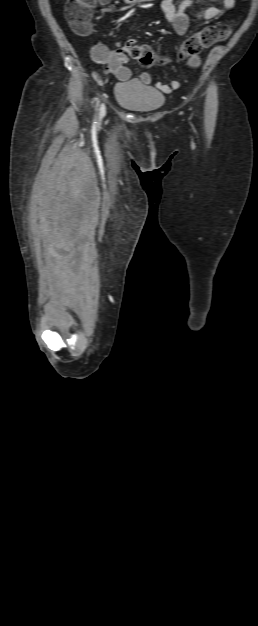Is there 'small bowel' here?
I'll list each match as a JSON object with an SVG mask.
<instances>
[{"label":"small bowel","mask_w":258,"mask_h":626,"mask_svg":"<svg viewBox=\"0 0 258 626\" xmlns=\"http://www.w3.org/2000/svg\"><path fill=\"white\" fill-rule=\"evenodd\" d=\"M199 1L217 2L219 6H205L197 13L198 19L213 20L223 15L227 10L231 9L235 0H181L176 5L174 0H163L162 10L165 13L169 26L175 30L179 35L186 34L190 19L186 13V10ZM100 61L105 65L106 71L113 74L118 80L126 81L130 77V70L125 66L127 57L123 50H110L104 46L98 47ZM188 65L191 67H197L200 63L198 56H192L188 58ZM141 80L144 84L149 85L151 83V76L148 73L141 75ZM180 87L179 81H171L170 84H164L161 82L156 83V88L163 93H171L172 91Z\"/></svg>","instance_id":"small-bowel-1"}]
</instances>
